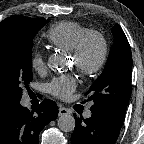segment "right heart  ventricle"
<instances>
[{
  "label": "right heart ventricle",
  "instance_id": "1",
  "mask_svg": "<svg viewBox=\"0 0 144 144\" xmlns=\"http://www.w3.org/2000/svg\"><path fill=\"white\" fill-rule=\"evenodd\" d=\"M89 28L73 21H62L51 26L46 38L51 46L65 51H72L80 37Z\"/></svg>",
  "mask_w": 144,
  "mask_h": 144
}]
</instances>
